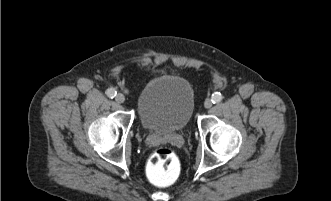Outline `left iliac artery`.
<instances>
[{"label": "left iliac artery", "instance_id": "44dca946", "mask_svg": "<svg viewBox=\"0 0 331 201\" xmlns=\"http://www.w3.org/2000/svg\"><path fill=\"white\" fill-rule=\"evenodd\" d=\"M222 99L223 96L221 95V93L215 92L214 94H212L211 100L214 104L219 103Z\"/></svg>", "mask_w": 331, "mask_h": 201}]
</instances>
